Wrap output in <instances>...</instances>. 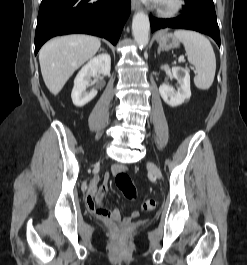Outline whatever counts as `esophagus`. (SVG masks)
<instances>
[{"mask_svg": "<svg viewBox=\"0 0 247 265\" xmlns=\"http://www.w3.org/2000/svg\"><path fill=\"white\" fill-rule=\"evenodd\" d=\"M131 5H132L133 10H136L140 7V2L139 0H131Z\"/></svg>", "mask_w": 247, "mask_h": 265, "instance_id": "1", "label": "esophagus"}]
</instances>
